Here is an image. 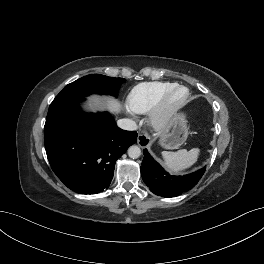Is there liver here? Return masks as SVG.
<instances>
[{"label": "liver", "instance_id": "6515ba94", "mask_svg": "<svg viewBox=\"0 0 264 264\" xmlns=\"http://www.w3.org/2000/svg\"><path fill=\"white\" fill-rule=\"evenodd\" d=\"M92 107L94 109H103L106 106L110 111L118 113L121 110L119 101L113 98L101 99L97 96L91 98Z\"/></svg>", "mask_w": 264, "mask_h": 264}]
</instances>
